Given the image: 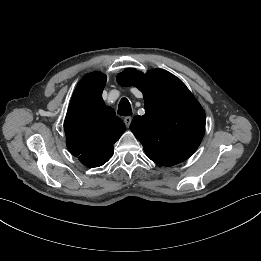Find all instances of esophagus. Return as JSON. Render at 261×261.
Masks as SVG:
<instances>
[{
    "label": "esophagus",
    "instance_id": "1",
    "mask_svg": "<svg viewBox=\"0 0 261 261\" xmlns=\"http://www.w3.org/2000/svg\"><path fill=\"white\" fill-rule=\"evenodd\" d=\"M131 122H132L131 116H127V117L124 118V123H125L126 127H129Z\"/></svg>",
    "mask_w": 261,
    "mask_h": 261
}]
</instances>
